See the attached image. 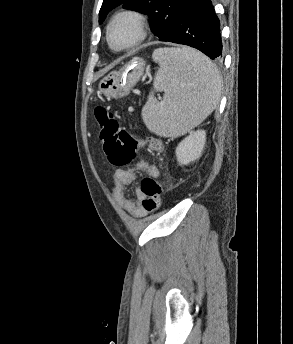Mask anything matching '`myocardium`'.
I'll list each match as a JSON object with an SVG mask.
<instances>
[{
    "label": "myocardium",
    "mask_w": 293,
    "mask_h": 344,
    "mask_svg": "<svg viewBox=\"0 0 293 344\" xmlns=\"http://www.w3.org/2000/svg\"><path fill=\"white\" fill-rule=\"evenodd\" d=\"M128 19L133 22L136 28V38L129 44L124 46H115L111 39V30L113 26L119 22L120 20ZM148 32L147 22L144 15L136 10L133 9H125L117 12L112 16L110 19L107 27H106V40L109 47L116 52H123L128 51L131 49L136 48L140 45L146 38Z\"/></svg>",
    "instance_id": "myocardium-1"
}]
</instances>
